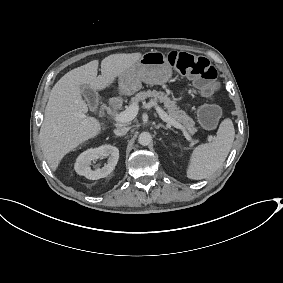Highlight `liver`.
<instances>
[{"label":"liver","mask_w":283,"mask_h":283,"mask_svg":"<svg viewBox=\"0 0 283 283\" xmlns=\"http://www.w3.org/2000/svg\"><path fill=\"white\" fill-rule=\"evenodd\" d=\"M141 57L140 52L109 55L101 62V76L97 75L99 60H92L69 71L54 85L39 134L42 153L52 171H57L67 154L102 132L99 120L85 116L88 106L82 86L104 91Z\"/></svg>","instance_id":"6515ba94"}]
</instances>
